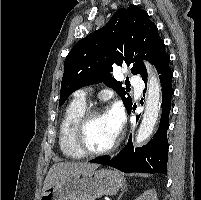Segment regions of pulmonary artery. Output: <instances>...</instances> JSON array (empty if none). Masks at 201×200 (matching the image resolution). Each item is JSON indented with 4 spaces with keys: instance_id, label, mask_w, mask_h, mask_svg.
<instances>
[{
    "instance_id": "obj_1",
    "label": "pulmonary artery",
    "mask_w": 201,
    "mask_h": 200,
    "mask_svg": "<svg viewBox=\"0 0 201 200\" xmlns=\"http://www.w3.org/2000/svg\"><path fill=\"white\" fill-rule=\"evenodd\" d=\"M130 80L135 87L141 88L143 86L142 79L139 75H132ZM76 97L85 100L86 91L84 90L78 91L76 93Z\"/></svg>"
}]
</instances>
